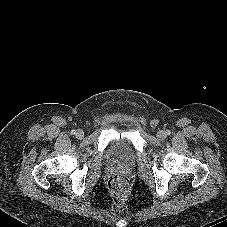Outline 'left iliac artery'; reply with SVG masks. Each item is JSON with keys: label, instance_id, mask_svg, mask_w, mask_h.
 <instances>
[{"label": "left iliac artery", "instance_id": "obj_1", "mask_svg": "<svg viewBox=\"0 0 227 227\" xmlns=\"http://www.w3.org/2000/svg\"><path fill=\"white\" fill-rule=\"evenodd\" d=\"M166 133H167V135H170L171 132L169 130H167Z\"/></svg>", "mask_w": 227, "mask_h": 227}]
</instances>
